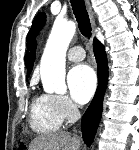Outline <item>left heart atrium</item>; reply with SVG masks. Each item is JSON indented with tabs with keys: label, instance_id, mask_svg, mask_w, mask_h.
<instances>
[{
	"label": "left heart atrium",
	"instance_id": "left-heart-atrium-1",
	"mask_svg": "<svg viewBox=\"0 0 139 150\" xmlns=\"http://www.w3.org/2000/svg\"><path fill=\"white\" fill-rule=\"evenodd\" d=\"M71 97L78 103L84 104L90 100L96 89V74L94 70L81 64L73 67L67 76Z\"/></svg>",
	"mask_w": 139,
	"mask_h": 150
}]
</instances>
